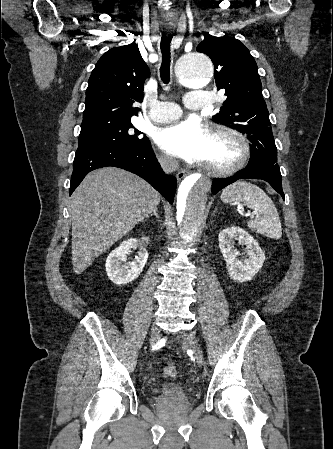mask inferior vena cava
I'll list each match as a JSON object with an SVG mask.
<instances>
[{"label": "inferior vena cava", "instance_id": "602c4592", "mask_svg": "<svg viewBox=\"0 0 333 449\" xmlns=\"http://www.w3.org/2000/svg\"><path fill=\"white\" fill-rule=\"evenodd\" d=\"M159 162L166 173H172L178 168V162L171 157H162Z\"/></svg>", "mask_w": 333, "mask_h": 449}]
</instances>
